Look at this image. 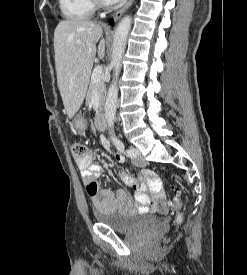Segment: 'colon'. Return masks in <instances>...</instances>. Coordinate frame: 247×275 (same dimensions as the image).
<instances>
[{"mask_svg":"<svg viewBox=\"0 0 247 275\" xmlns=\"http://www.w3.org/2000/svg\"><path fill=\"white\" fill-rule=\"evenodd\" d=\"M72 155L76 160H81L87 156V148L84 144L75 142L71 146ZM96 186L94 184H88L86 185V190L88 194H93L96 192ZM170 208L177 212L175 217V222L177 224H181L183 221V214L180 212L181 208V198L180 193L176 192L172 201L169 204Z\"/></svg>","mask_w":247,"mask_h":275,"instance_id":"1","label":"colon"}]
</instances>
